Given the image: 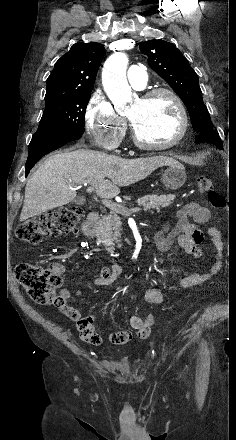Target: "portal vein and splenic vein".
<instances>
[{"label":"portal vein and splenic vein","instance_id":"portal-vein-and-splenic-vein-1","mask_svg":"<svg viewBox=\"0 0 236 440\" xmlns=\"http://www.w3.org/2000/svg\"><path fill=\"white\" fill-rule=\"evenodd\" d=\"M84 185L86 186L87 184H84ZM93 190H94L93 188H90V187H89V188L87 189V192H92ZM102 204H103L105 207H107V208H109L110 210H112V211H117V212H120V213H123V214H126V215H130L131 213L138 212V211L141 210V209L138 208V207H135V208H132V209H124L121 205H119V204H117V203L111 201V200L108 199V198H103V200H102Z\"/></svg>","mask_w":236,"mask_h":440}]
</instances>
